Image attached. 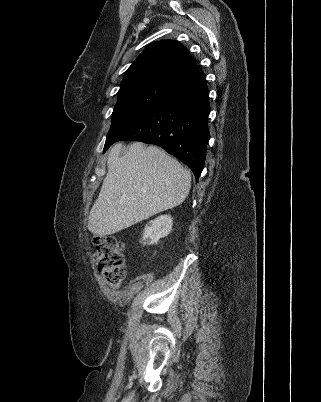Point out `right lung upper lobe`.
Segmentation results:
<instances>
[{
    "instance_id": "obj_1",
    "label": "right lung upper lobe",
    "mask_w": 321,
    "mask_h": 402,
    "mask_svg": "<svg viewBox=\"0 0 321 402\" xmlns=\"http://www.w3.org/2000/svg\"><path fill=\"white\" fill-rule=\"evenodd\" d=\"M199 72L188 50L173 40L150 44L126 71L119 91L149 83L174 86Z\"/></svg>"
}]
</instances>
